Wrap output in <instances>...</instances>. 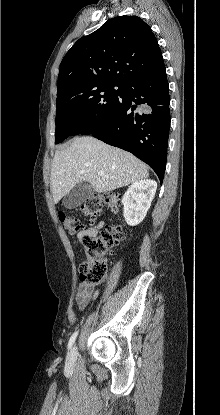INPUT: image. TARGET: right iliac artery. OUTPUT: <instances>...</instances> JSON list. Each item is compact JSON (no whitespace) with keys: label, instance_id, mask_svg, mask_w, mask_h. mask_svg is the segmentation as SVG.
I'll return each mask as SVG.
<instances>
[{"label":"right iliac artery","instance_id":"82829eb1","mask_svg":"<svg viewBox=\"0 0 220 415\" xmlns=\"http://www.w3.org/2000/svg\"><path fill=\"white\" fill-rule=\"evenodd\" d=\"M78 335V331L74 332L73 335L70 337V340L68 342V349H70L73 345V343L75 342V339Z\"/></svg>","mask_w":220,"mask_h":415}]
</instances>
